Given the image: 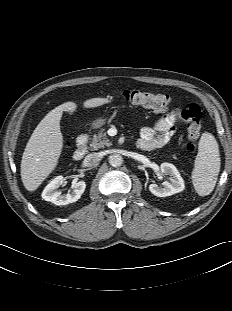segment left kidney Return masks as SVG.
<instances>
[{
  "mask_svg": "<svg viewBox=\"0 0 232 311\" xmlns=\"http://www.w3.org/2000/svg\"><path fill=\"white\" fill-rule=\"evenodd\" d=\"M160 168L162 173L170 176V182L165 181L163 188H160L157 184H150L149 190L152 194L158 197H166L184 190V180L173 164L165 162L161 164Z\"/></svg>",
  "mask_w": 232,
  "mask_h": 311,
  "instance_id": "obj_1",
  "label": "left kidney"
}]
</instances>
